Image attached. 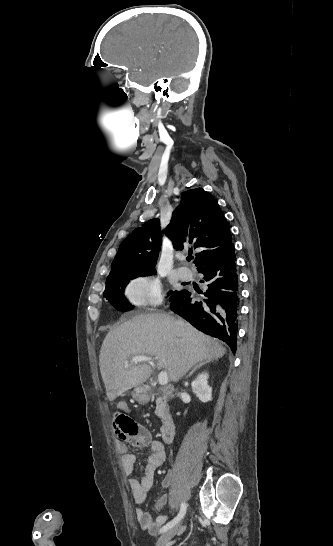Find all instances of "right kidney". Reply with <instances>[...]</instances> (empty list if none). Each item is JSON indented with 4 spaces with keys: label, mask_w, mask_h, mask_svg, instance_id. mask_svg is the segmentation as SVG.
I'll list each match as a JSON object with an SVG mask.
<instances>
[{
    "label": "right kidney",
    "mask_w": 333,
    "mask_h": 546,
    "mask_svg": "<svg viewBox=\"0 0 333 546\" xmlns=\"http://www.w3.org/2000/svg\"><path fill=\"white\" fill-rule=\"evenodd\" d=\"M208 376L207 372H202L191 383L193 392L203 403L210 401L212 396V388L207 381Z\"/></svg>",
    "instance_id": "1"
}]
</instances>
